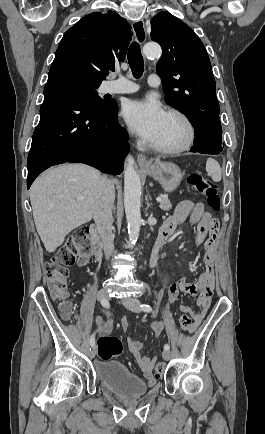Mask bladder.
I'll return each mask as SVG.
<instances>
[{
    "mask_svg": "<svg viewBox=\"0 0 265 434\" xmlns=\"http://www.w3.org/2000/svg\"><path fill=\"white\" fill-rule=\"evenodd\" d=\"M96 373L110 390L122 398H139L148 391L146 383L138 376L132 374L128 368L119 361H98L96 363Z\"/></svg>",
    "mask_w": 265,
    "mask_h": 434,
    "instance_id": "1",
    "label": "bladder"
}]
</instances>
